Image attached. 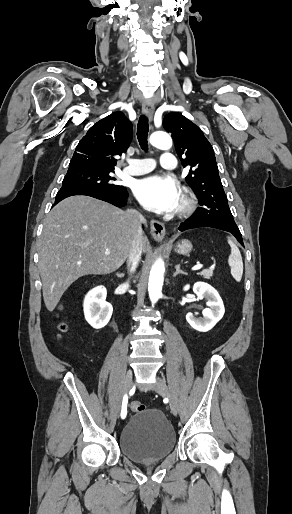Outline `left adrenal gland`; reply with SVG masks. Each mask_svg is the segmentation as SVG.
I'll return each mask as SVG.
<instances>
[{
  "mask_svg": "<svg viewBox=\"0 0 292 514\" xmlns=\"http://www.w3.org/2000/svg\"><path fill=\"white\" fill-rule=\"evenodd\" d=\"M176 268V272L174 274V278L175 276H177V274H186V272H183V270H180V264H178V266H175Z\"/></svg>",
  "mask_w": 292,
  "mask_h": 514,
  "instance_id": "left-adrenal-gland-1",
  "label": "left adrenal gland"
}]
</instances>
